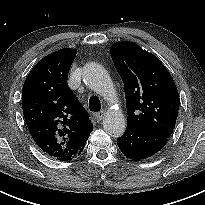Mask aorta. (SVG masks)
<instances>
[{
  "label": "aorta",
  "mask_w": 205,
  "mask_h": 205,
  "mask_svg": "<svg viewBox=\"0 0 205 205\" xmlns=\"http://www.w3.org/2000/svg\"><path fill=\"white\" fill-rule=\"evenodd\" d=\"M83 80L93 91L97 92L108 102L116 100V91L112 80L105 68L90 62L84 66ZM104 130L113 137H120L126 128V121L120 110L111 109L103 118Z\"/></svg>",
  "instance_id": "1"
}]
</instances>
